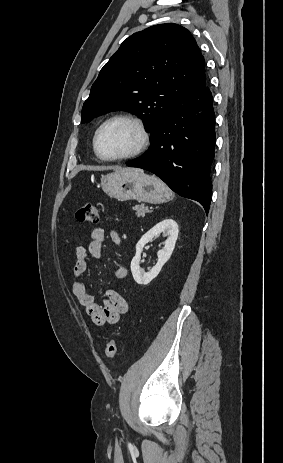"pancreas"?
I'll return each instance as SVG.
<instances>
[{"instance_id":"pancreas-1","label":"pancreas","mask_w":283,"mask_h":463,"mask_svg":"<svg viewBox=\"0 0 283 463\" xmlns=\"http://www.w3.org/2000/svg\"><path fill=\"white\" fill-rule=\"evenodd\" d=\"M133 210L136 211V215L138 217H144L145 216V213H149L150 210L148 209L147 206H145L144 204H141V205H136L133 207Z\"/></svg>"}]
</instances>
